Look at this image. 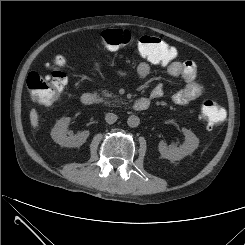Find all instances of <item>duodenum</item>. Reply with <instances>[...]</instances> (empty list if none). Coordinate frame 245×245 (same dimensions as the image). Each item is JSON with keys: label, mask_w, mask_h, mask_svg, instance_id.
Here are the masks:
<instances>
[{"label": "duodenum", "mask_w": 245, "mask_h": 245, "mask_svg": "<svg viewBox=\"0 0 245 245\" xmlns=\"http://www.w3.org/2000/svg\"><path fill=\"white\" fill-rule=\"evenodd\" d=\"M99 97L92 92H86L81 96V103L85 106H91L97 104ZM150 106V100L148 98H139L134 101L133 109L136 111H144Z\"/></svg>", "instance_id": "duodenum-1"}]
</instances>
